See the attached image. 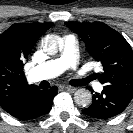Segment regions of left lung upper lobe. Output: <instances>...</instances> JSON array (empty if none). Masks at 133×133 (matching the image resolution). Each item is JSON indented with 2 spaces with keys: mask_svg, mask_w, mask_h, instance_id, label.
Wrapping results in <instances>:
<instances>
[{
  "mask_svg": "<svg viewBox=\"0 0 133 133\" xmlns=\"http://www.w3.org/2000/svg\"><path fill=\"white\" fill-rule=\"evenodd\" d=\"M85 43L88 53L103 65L104 72L94 74L105 84L103 91L129 99L133 97V52L128 42L106 24L67 22Z\"/></svg>",
  "mask_w": 133,
  "mask_h": 133,
  "instance_id": "left-lung-upper-lobe-1",
  "label": "left lung upper lobe"
}]
</instances>
